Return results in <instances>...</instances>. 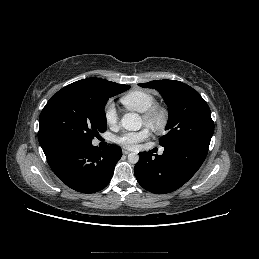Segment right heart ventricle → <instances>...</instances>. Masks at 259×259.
<instances>
[{
    "instance_id": "e07e8e85",
    "label": "right heart ventricle",
    "mask_w": 259,
    "mask_h": 259,
    "mask_svg": "<svg viewBox=\"0 0 259 259\" xmlns=\"http://www.w3.org/2000/svg\"><path fill=\"white\" fill-rule=\"evenodd\" d=\"M121 103L129 110L143 113L156 103L155 96L145 90H133L120 99Z\"/></svg>"
}]
</instances>
